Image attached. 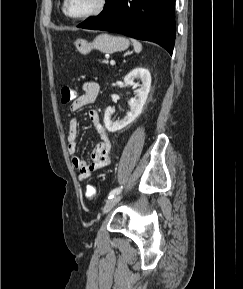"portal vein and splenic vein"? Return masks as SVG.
<instances>
[{"instance_id": "portal-vein-and-splenic-vein-1", "label": "portal vein and splenic vein", "mask_w": 243, "mask_h": 289, "mask_svg": "<svg viewBox=\"0 0 243 289\" xmlns=\"http://www.w3.org/2000/svg\"><path fill=\"white\" fill-rule=\"evenodd\" d=\"M110 64H111V65H115V61H114V60H111V61H110Z\"/></svg>"}]
</instances>
